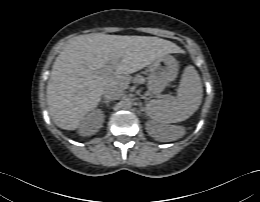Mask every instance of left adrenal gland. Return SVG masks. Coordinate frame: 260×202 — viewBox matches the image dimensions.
Listing matches in <instances>:
<instances>
[{"instance_id":"left-adrenal-gland-1","label":"left adrenal gland","mask_w":260,"mask_h":202,"mask_svg":"<svg viewBox=\"0 0 260 202\" xmlns=\"http://www.w3.org/2000/svg\"><path fill=\"white\" fill-rule=\"evenodd\" d=\"M140 108L142 112H146V108L143 106V104H140Z\"/></svg>"}]
</instances>
